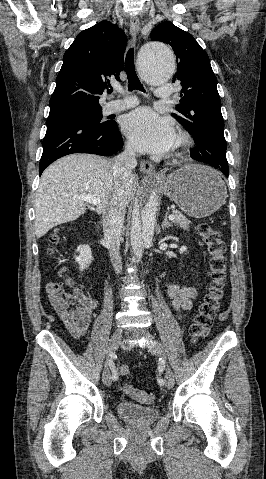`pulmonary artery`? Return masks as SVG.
<instances>
[{
    "label": "pulmonary artery",
    "mask_w": 266,
    "mask_h": 479,
    "mask_svg": "<svg viewBox=\"0 0 266 479\" xmlns=\"http://www.w3.org/2000/svg\"><path fill=\"white\" fill-rule=\"evenodd\" d=\"M171 94H172V89H171V86L168 84H163L155 90V95L158 98L167 99L171 97ZM137 103L138 101L136 97H134L132 94H125V97L123 99L114 100L107 103L106 112L115 113V112L123 111L131 107H134Z\"/></svg>",
    "instance_id": "1"
}]
</instances>
